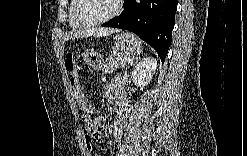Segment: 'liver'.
Here are the masks:
<instances>
[{
	"instance_id": "1",
	"label": "liver",
	"mask_w": 247,
	"mask_h": 156,
	"mask_svg": "<svg viewBox=\"0 0 247 156\" xmlns=\"http://www.w3.org/2000/svg\"><path fill=\"white\" fill-rule=\"evenodd\" d=\"M119 29L116 28H101V27H96V28H91V29H85L82 31H75L66 36L64 39L65 41L69 39H79V38H88V37H103V36H108L113 33L119 32Z\"/></svg>"
}]
</instances>
